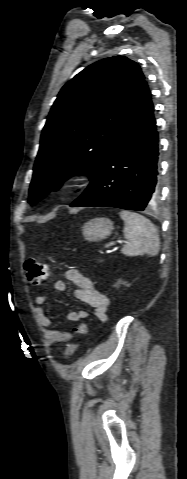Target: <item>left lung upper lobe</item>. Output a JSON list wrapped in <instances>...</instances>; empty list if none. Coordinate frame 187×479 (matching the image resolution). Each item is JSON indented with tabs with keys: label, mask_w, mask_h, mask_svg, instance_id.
<instances>
[{
	"label": "left lung upper lobe",
	"mask_w": 187,
	"mask_h": 479,
	"mask_svg": "<svg viewBox=\"0 0 187 479\" xmlns=\"http://www.w3.org/2000/svg\"><path fill=\"white\" fill-rule=\"evenodd\" d=\"M144 79L136 62L113 56L63 86L42 131L29 203L70 176L95 173L119 138Z\"/></svg>",
	"instance_id": "left-lung-upper-lobe-1"
}]
</instances>
